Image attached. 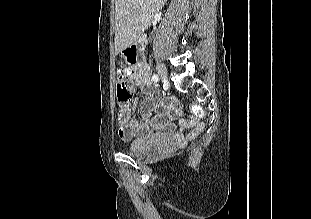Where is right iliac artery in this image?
Here are the masks:
<instances>
[{
    "label": "right iliac artery",
    "instance_id": "obj_1",
    "mask_svg": "<svg viewBox=\"0 0 311 219\" xmlns=\"http://www.w3.org/2000/svg\"><path fill=\"white\" fill-rule=\"evenodd\" d=\"M152 80H153L155 83H157V82L159 81V77H158L156 74H154V75L152 76Z\"/></svg>",
    "mask_w": 311,
    "mask_h": 219
}]
</instances>
